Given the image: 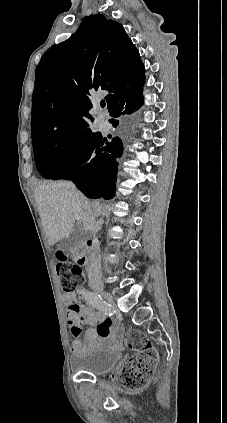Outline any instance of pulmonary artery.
<instances>
[{
    "instance_id": "obj_1",
    "label": "pulmonary artery",
    "mask_w": 227,
    "mask_h": 423,
    "mask_svg": "<svg viewBox=\"0 0 227 423\" xmlns=\"http://www.w3.org/2000/svg\"><path fill=\"white\" fill-rule=\"evenodd\" d=\"M98 126L100 127V129L104 130V129L108 128L109 122L107 120H100L98 122Z\"/></svg>"
}]
</instances>
